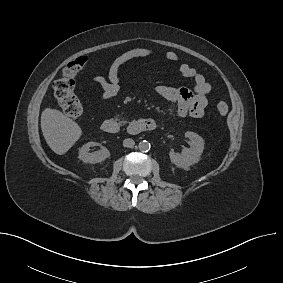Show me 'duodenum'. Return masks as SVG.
Returning a JSON list of instances; mask_svg holds the SVG:
<instances>
[{
    "instance_id": "1",
    "label": "duodenum",
    "mask_w": 283,
    "mask_h": 283,
    "mask_svg": "<svg viewBox=\"0 0 283 283\" xmlns=\"http://www.w3.org/2000/svg\"><path fill=\"white\" fill-rule=\"evenodd\" d=\"M156 128V123L152 119H136L129 123L128 132L136 135L142 132L153 131ZM101 129L108 134H116L121 130L120 124L114 119H106L101 124Z\"/></svg>"
}]
</instances>
